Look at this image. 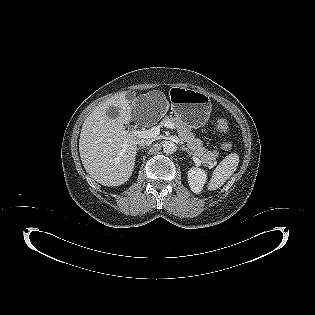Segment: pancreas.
I'll list each match as a JSON object with an SVG mask.
<instances>
[{
	"mask_svg": "<svg viewBox=\"0 0 315 315\" xmlns=\"http://www.w3.org/2000/svg\"><path fill=\"white\" fill-rule=\"evenodd\" d=\"M171 122L177 129L179 138L184 141L187 145L189 152L201 159V162L212 167L216 163V158L219 153L217 151H208L202 146V141L195 137L194 133L191 132L190 128L186 126L183 120L179 117H164L161 123Z\"/></svg>",
	"mask_w": 315,
	"mask_h": 315,
	"instance_id": "obj_1",
	"label": "pancreas"
}]
</instances>
